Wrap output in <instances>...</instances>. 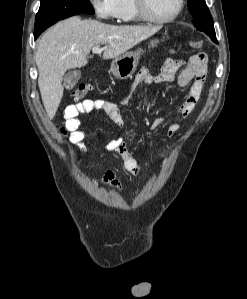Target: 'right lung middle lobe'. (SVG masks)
<instances>
[{"instance_id":"obj_1","label":"right lung middle lobe","mask_w":247,"mask_h":299,"mask_svg":"<svg viewBox=\"0 0 247 299\" xmlns=\"http://www.w3.org/2000/svg\"><path fill=\"white\" fill-rule=\"evenodd\" d=\"M81 13H94L89 0H41L35 19L34 36L40 35L59 20Z\"/></svg>"}]
</instances>
